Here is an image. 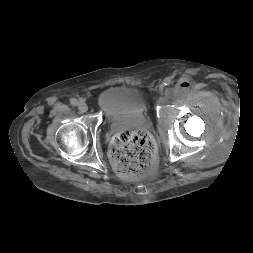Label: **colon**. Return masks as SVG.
<instances>
[{
    "label": "colon",
    "mask_w": 253,
    "mask_h": 253,
    "mask_svg": "<svg viewBox=\"0 0 253 253\" xmlns=\"http://www.w3.org/2000/svg\"><path fill=\"white\" fill-rule=\"evenodd\" d=\"M110 156L114 169L120 177L124 179L142 177L153 166V141L142 130H123L113 138Z\"/></svg>",
    "instance_id": "5ec220e1"
}]
</instances>
